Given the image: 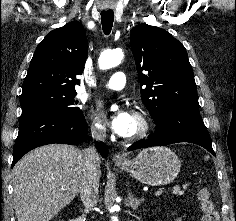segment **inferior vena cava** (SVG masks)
I'll use <instances>...</instances> for the list:
<instances>
[{"instance_id":"inferior-vena-cava-1","label":"inferior vena cava","mask_w":236,"mask_h":221,"mask_svg":"<svg viewBox=\"0 0 236 221\" xmlns=\"http://www.w3.org/2000/svg\"><path fill=\"white\" fill-rule=\"evenodd\" d=\"M93 139L103 141L106 132L101 128H91ZM83 175L80 186V197L86 211L91 210L98 201L100 155L94 146L82 151Z\"/></svg>"}]
</instances>
